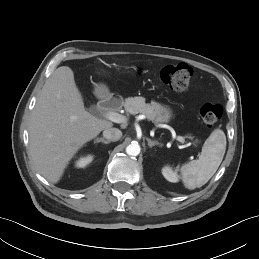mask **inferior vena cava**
Returning a JSON list of instances; mask_svg holds the SVG:
<instances>
[{
    "instance_id": "1",
    "label": "inferior vena cava",
    "mask_w": 259,
    "mask_h": 259,
    "mask_svg": "<svg viewBox=\"0 0 259 259\" xmlns=\"http://www.w3.org/2000/svg\"><path fill=\"white\" fill-rule=\"evenodd\" d=\"M103 136L109 141H118L122 137V132L117 128H108L103 131Z\"/></svg>"
}]
</instances>
